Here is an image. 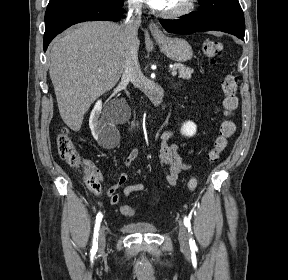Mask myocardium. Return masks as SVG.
<instances>
[{
  "label": "myocardium",
  "mask_w": 288,
  "mask_h": 280,
  "mask_svg": "<svg viewBox=\"0 0 288 280\" xmlns=\"http://www.w3.org/2000/svg\"><path fill=\"white\" fill-rule=\"evenodd\" d=\"M197 0H187L179 9L173 11H162L160 14L169 19H178L190 14L196 7Z\"/></svg>",
  "instance_id": "1"
}]
</instances>
